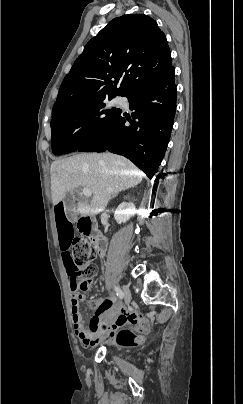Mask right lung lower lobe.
<instances>
[{
	"label": "right lung lower lobe",
	"mask_w": 243,
	"mask_h": 404,
	"mask_svg": "<svg viewBox=\"0 0 243 404\" xmlns=\"http://www.w3.org/2000/svg\"><path fill=\"white\" fill-rule=\"evenodd\" d=\"M174 67L137 86L128 97L132 118L118 112L105 128L77 151H110L129 158L151 179L164 157L176 111ZM125 116V117H123ZM128 121L130 125L125 126ZM159 177V175H157Z\"/></svg>",
	"instance_id": "1"
}]
</instances>
